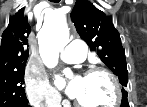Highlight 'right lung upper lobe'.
Returning <instances> with one entry per match:
<instances>
[{"label": "right lung upper lobe", "instance_id": "cb5924a9", "mask_svg": "<svg viewBox=\"0 0 147 107\" xmlns=\"http://www.w3.org/2000/svg\"><path fill=\"white\" fill-rule=\"evenodd\" d=\"M31 32L24 8L10 18L8 27L2 34L0 46V74L16 71L25 67L29 51L28 36Z\"/></svg>", "mask_w": 147, "mask_h": 107}]
</instances>
